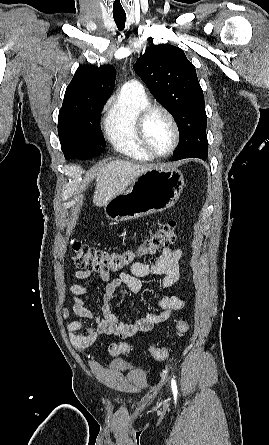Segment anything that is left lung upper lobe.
Here are the masks:
<instances>
[{"label": "left lung upper lobe", "mask_w": 269, "mask_h": 445, "mask_svg": "<svg viewBox=\"0 0 269 445\" xmlns=\"http://www.w3.org/2000/svg\"><path fill=\"white\" fill-rule=\"evenodd\" d=\"M134 70L177 122L180 142L173 160L206 159L207 116L203 91L195 67L183 50L169 44L152 46L137 59Z\"/></svg>", "instance_id": "1"}]
</instances>
